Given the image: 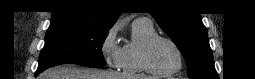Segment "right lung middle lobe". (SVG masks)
Instances as JSON below:
<instances>
[{
    "instance_id": "right-lung-middle-lobe-1",
    "label": "right lung middle lobe",
    "mask_w": 255,
    "mask_h": 79,
    "mask_svg": "<svg viewBox=\"0 0 255 79\" xmlns=\"http://www.w3.org/2000/svg\"><path fill=\"white\" fill-rule=\"evenodd\" d=\"M108 30L65 23L51 24L40 53L38 70L63 63L104 66L106 61L101 47Z\"/></svg>"
}]
</instances>
